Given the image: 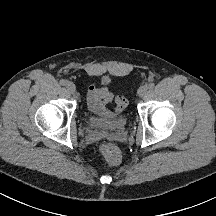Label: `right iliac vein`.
Segmentation results:
<instances>
[{"label":"right iliac vein","instance_id":"1","mask_svg":"<svg viewBox=\"0 0 216 216\" xmlns=\"http://www.w3.org/2000/svg\"><path fill=\"white\" fill-rule=\"evenodd\" d=\"M66 89L68 90V92L74 93L76 90L75 84L73 82H67Z\"/></svg>","mask_w":216,"mask_h":216}]
</instances>
